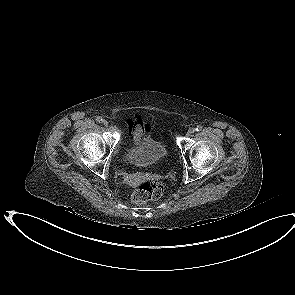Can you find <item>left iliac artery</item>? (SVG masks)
Masks as SVG:
<instances>
[{"mask_svg": "<svg viewBox=\"0 0 295 295\" xmlns=\"http://www.w3.org/2000/svg\"><path fill=\"white\" fill-rule=\"evenodd\" d=\"M202 130V126L201 125H198L196 128H195V131L199 132Z\"/></svg>", "mask_w": 295, "mask_h": 295, "instance_id": "1", "label": "left iliac artery"}]
</instances>
